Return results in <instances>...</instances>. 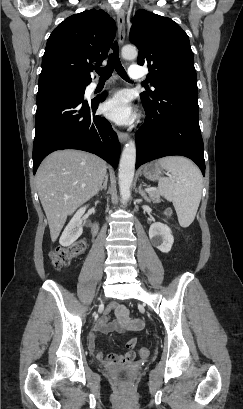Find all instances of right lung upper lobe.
<instances>
[{"mask_svg": "<svg viewBox=\"0 0 243 409\" xmlns=\"http://www.w3.org/2000/svg\"><path fill=\"white\" fill-rule=\"evenodd\" d=\"M116 32L103 10H85L60 23L48 38L39 79L61 76L91 83V71L107 57Z\"/></svg>", "mask_w": 243, "mask_h": 409, "instance_id": "cb5924a9", "label": "right lung upper lobe"}]
</instances>
